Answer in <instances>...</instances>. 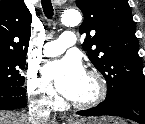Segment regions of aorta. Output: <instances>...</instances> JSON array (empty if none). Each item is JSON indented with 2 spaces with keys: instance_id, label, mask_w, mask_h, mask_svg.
Returning <instances> with one entry per match:
<instances>
[{
  "instance_id": "aorta-1",
  "label": "aorta",
  "mask_w": 145,
  "mask_h": 124,
  "mask_svg": "<svg viewBox=\"0 0 145 124\" xmlns=\"http://www.w3.org/2000/svg\"><path fill=\"white\" fill-rule=\"evenodd\" d=\"M66 26H76L81 22V14L77 10H68L62 16Z\"/></svg>"
}]
</instances>
